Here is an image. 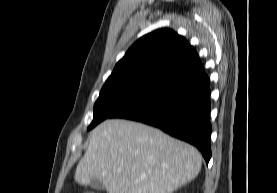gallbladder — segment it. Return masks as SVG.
<instances>
[{"label": "gallbladder", "instance_id": "bac80fb5", "mask_svg": "<svg viewBox=\"0 0 277 193\" xmlns=\"http://www.w3.org/2000/svg\"><path fill=\"white\" fill-rule=\"evenodd\" d=\"M89 185H90L91 188H94V189H97V190H103L105 188L102 181L99 180L98 178L91 179Z\"/></svg>", "mask_w": 277, "mask_h": 193}]
</instances>
